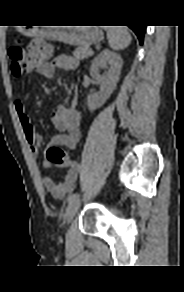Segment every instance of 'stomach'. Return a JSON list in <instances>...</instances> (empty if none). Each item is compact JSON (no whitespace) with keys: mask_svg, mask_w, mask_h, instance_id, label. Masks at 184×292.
<instances>
[{"mask_svg":"<svg viewBox=\"0 0 184 292\" xmlns=\"http://www.w3.org/2000/svg\"><path fill=\"white\" fill-rule=\"evenodd\" d=\"M22 33L33 36L31 29H20ZM44 37L76 46H85L97 43L103 39V33L98 27H60L46 31Z\"/></svg>","mask_w":184,"mask_h":292,"instance_id":"stomach-1","label":"stomach"}]
</instances>
